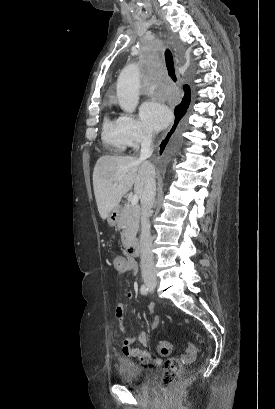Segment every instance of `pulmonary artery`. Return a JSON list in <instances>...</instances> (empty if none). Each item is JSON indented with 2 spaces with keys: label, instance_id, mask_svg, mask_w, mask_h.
<instances>
[{
  "label": "pulmonary artery",
  "instance_id": "1",
  "mask_svg": "<svg viewBox=\"0 0 275 409\" xmlns=\"http://www.w3.org/2000/svg\"><path fill=\"white\" fill-rule=\"evenodd\" d=\"M155 90H156V87H155V86H151V87H150V93H151V94H154V93H155Z\"/></svg>",
  "mask_w": 275,
  "mask_h": 409
}]
</instances>
